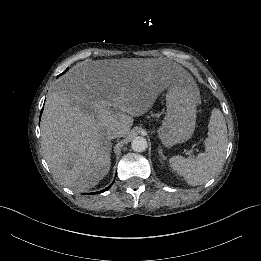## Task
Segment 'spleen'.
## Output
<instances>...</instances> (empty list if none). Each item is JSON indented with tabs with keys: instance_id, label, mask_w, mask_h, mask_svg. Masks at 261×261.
<instances>
[{
	"instance_id": "1",
	"label": "spleen",
	"mask_w": 261,
	"mask_h": 261,
	"mask_svg": "<svg viewBox=\"0 0 261 261\" xmlns=\"http://www.w3.org/2000/svg\"><path fill=\"white\" fill-rule=\"evenodd\" d=\"M208 137L205 140V153L185 158L173 156L170 166L192 186L209 181L223 166L226 156L228 132L222 112L214 108L208 125Z\"/></svg>"
}]
</instances>
